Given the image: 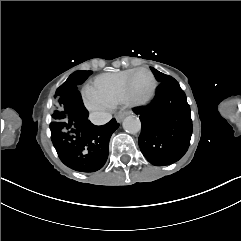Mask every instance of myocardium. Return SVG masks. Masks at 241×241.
<instances>
[{
  "label": "myocardium",
  "mask_w": 241,
  "mask_h": 241,
  "mask_svg": "<svg viewBox=\"0 0 241 241\" xmlns=\"http://www.w3.org/2000/svg\"><path fill=\"white\" fill-rule=\"evenodd\" d=\"M143 71L147 72L148 74H150V75L152 76V83H153V84H152V88L155 89V90H154L155 95L159 93V90L156 89L157 85H155V84H157V76L155 75V72H154L152 69H150L149 67L143 66L142 69L136 70V71L133 72L131 75H129L128 78L126 79V91H125V89H124V91H125V100H126L127 102H130V101H131V98H130V93H131V92H129L128 89H127L128 84L131 83V81H133L137 76H139L140 74H142ZM155 95H154V96H155ZM154 96H153V97H154ZM153 97H152V98H153ZM123 98H124V97H122V99H123ZM151 100H152V99H151ZM121 101H123V100H121ZM149 104H150V103H149ZM137 106H138V105H137ZM139 106H140V105H139ZM147 106H148V105H147ZM143 107H144V106H143Z\"/></svg>",
  "instance_id": "myocardium-1"
}]
</instances>
